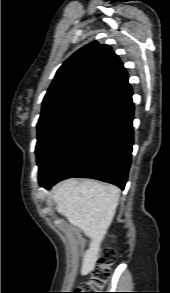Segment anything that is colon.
<instances>
[{"instance_id": "1", "label": "colon", "mask_w": 170, "mask_h": 293, "mask_svg": "<svg viewBox=\"0 0 170 293\" xmlns=\"http://www.w3.org/2000/svg\"><path fill=\"white\" fill-rule=\"evenodd\" d=\"M116 259L113 249H105L93 265L89 279L82 282L72 293H97L110 277V270Z\"/></svg>"}]
</instances>
